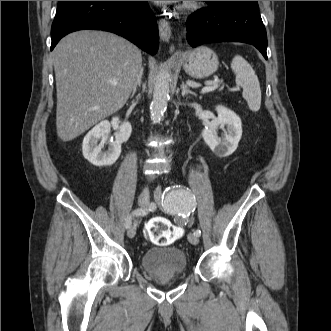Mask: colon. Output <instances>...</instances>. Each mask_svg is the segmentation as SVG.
<instances>
[{"label":"colon","mask_w":331,"mask_h":331,"mask_svg":"<svg viewBox=\"0 0 331 331\" xmlns=\"http://www.w3.org/2000/svg\"><path fill=\"white\" fill-rule=\"evenodd\" d=\"M183 231L163 217L152 218L145 227L146 237L155 245L166 246L180 238Z\"/></svg>","instance_id":"5ec220e1"}]
</instances>
